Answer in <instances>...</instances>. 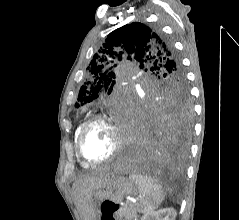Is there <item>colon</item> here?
Listing matches in <instances>:
<instances>
[{"label": "colon", "mask_w": 239, "mask_h": 220, "mask_svg": "<svg viewBox=\"0 0 239 220\" xmlns=\"http://www.w3.org/2000/svg\"><path fill=\"white\" fill-rule=\"evenodd\" d=\"M119 205L111 200H105L101 204L102 220H116L115 213Z\"/></svg>", "instance_id": "obj_1"}]
</instances>
